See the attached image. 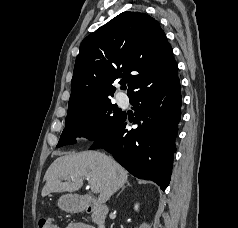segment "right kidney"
<instances>
[{"instance_id": "ca27d5eb", "label": "right kidney", "mask_w": 238, "mask_h": 228, "mask_svg": "<svg viewBox=\"0 0 238 228\" xmlns=\"http://www.w3.org/2000/svg\"><path fill=\"white\" fill-rule=\"evenodd\" d=\"M138 208H139V205L136 204V205L134 206V209H135L136 211H138Z\"/></svg>"}]
</instances>
